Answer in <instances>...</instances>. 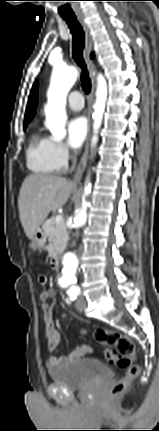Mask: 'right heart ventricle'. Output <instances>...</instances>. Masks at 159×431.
I'll return each instance as SVG.
<instances>
[{"label": "right heart ventricle", "mask_w": 159, "mask_h": 431, "mask_svg": "<svg viewBox=\"0 0 159 431\" xmlns=\"http://www.w3.org/2000/svg\"><path fill=\"white\" fill-rule=\"evenodd\" d=\"M26 161L28 168L35 173L49 174L56 171L49 154L48 138L38 133L31 135Z\"/></svg>", "instance_id": "obj_1"}]
</instances>
